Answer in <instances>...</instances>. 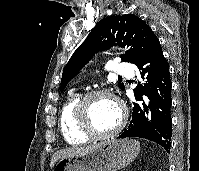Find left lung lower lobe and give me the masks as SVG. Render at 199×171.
Wrapping results in <instances>:
<instances>
[{
    "label": "left lung lower lobe",
    "mask_w": 199,
    "mask_h": 171,
    "mask_svg": "<svg viewBox=\"0 0 199 171\" xmlns=\"http://www.w3.org/2000/svg\"><path fill=\"white\" fill-rule=\"evenodd\" d=\"M143 84L134 89L132 120L118 138L140 137L156 142L170 153L172 137L169 65L157 39L135 64Z\"/></svg>",
    "instance_id": "1"
}]
</instances>
